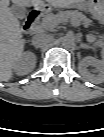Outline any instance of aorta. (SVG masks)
I'll return each mask as SVG.
<instances>
[{
  "label": "aorta",
  "instance_id": "obj_1",
  "mask_svg": "<svg viewBox=\"0 0 104 137\" xmlns=\"http://www.w3.org/2000/svg\"><path fill=\"white\" fill-rule=\"evenodd\" d=\"M61 44L66 49H71L75 47V39L72 36L66 35L61 38Z\"/></svg>",
  "mask_w": 104,
  "mask_h": 137
}]
</instances>
